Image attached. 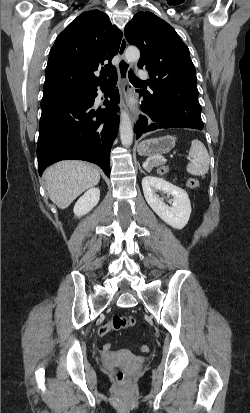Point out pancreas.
<instances>
[{"label": "pancreas", "mask_w": 250, "mask_h": 413, "mask_svg": "<svg viewBox=\"0 0 250 413\" xmlns=\"http://www.w3.org/2000/svg\"><path fill=\"white\" fill-rule=\"evenodd\" d=\"M162 163H163V160L153 159V160L150 161V163H149V165H148V167H147V170H148V171H151L153 167L158 166L159 164H162ZM161 169H164V172H163V173L160 172V170H159V173H160L161 175L167 173V169H166L165 167H161Z\"/></svg>", "instance_id": "1"}]
</instances>
